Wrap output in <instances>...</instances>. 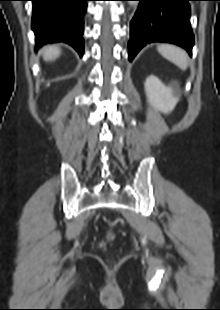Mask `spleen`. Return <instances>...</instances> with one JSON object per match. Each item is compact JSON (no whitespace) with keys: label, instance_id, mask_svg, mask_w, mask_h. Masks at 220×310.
Returning a JSON list of instances; mask_svg holds the SVG:
<instances>
[{"label":"spleen","instance_id":"spleen-1","mask_svg":"<svg viewBox=\"0 0 220 310\" xmlns=\"http://www.w3.org/2000/svg\"><path fill=\"white\" fill-rule=\"evenodd\" d=\"M158 52L167 60L185 70L188 67V57L184 50L174 45L162 44L157 47Z\"/></svg>","mask_w":220,"mask_h":310}]
</instances>
